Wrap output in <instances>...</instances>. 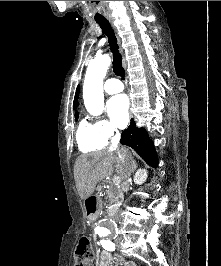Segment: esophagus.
<instances>
[{
  "label": "esophagus",
  "mask_w": 221,
  "mask_h": 266,
  "mask_svg": "<svg viewBox=\"0 0 221 266\" xmlns=\"http://www.w3.org/2000/svg\"><path fill=\"white\" fill-rule=\"evenodd\" d=\"M110 23H111L112 27L114 28L115 33H117V31H116V29H115V27H114V25H113V21H112V20H110ZM116 35H117V34H116ZM117 40H118V45L120 46L121 41H120V38H119L118 36H117ZM119 50H120V52H122V49H121V48H119Z\"/></svg>",
  "instance_id": "obj_1"
}]
</instances>
